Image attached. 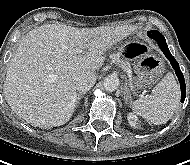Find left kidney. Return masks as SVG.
<instances>
[{
    "instance_id": "left-kidney-1",
    "label": "left kidney",
    "mask_w": 190,
    "mask_h": 165,
    "mask_svg": "<svg viewBox=\"0 0 190 165\" xmlns=\"http://www.w3.org/2000/svg\"><path fill=\"white\" fill-rule=\"evenodd\" d=\"M127 119L131 127H134V128L138 127V119L136 115H134L133 113H129L127 115Z\"/></svg>"
}]
</instances>
